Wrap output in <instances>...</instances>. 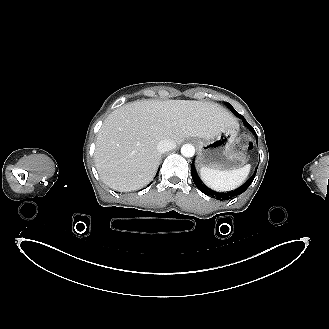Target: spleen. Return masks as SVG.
Wrapping results in <instances>:
<instances>
[{
    "mask_svg": "<svg viewBox=\"0 0 329 329\" xmlns=\"http://www.w3.org/2000/svg\"><path fill=\"white\" fill-rule=\"evenodd\" d=\"M250 169V165L230 171L202 168L200 170V176L202 181L211 189L216 191H230L239 187L246 180Z\"/></svg>",
    "mask_w": 329,
    "mask_h": 329,
    "instance_id": "1",
    "label": "spleen"
}]
</instances>
